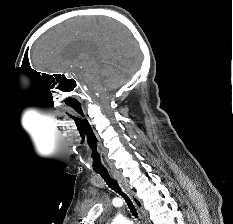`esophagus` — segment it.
Returning a JSON list of instances; mask_svg holds the SVG:
<instances>
[{"label":"esophagus","instance_id":"obj_1","mask_svg":"<svg viewBox=\"0 0 233 224\" xmlns=\"http://www.w3.org/2000/svg\"><path fill=\"white\" fill-rule=\"evenodd\" d=\"M111 176L117 180L119 183H121V185L123 186L124 190L126 191V193L129 195L130 199L132 200V202L134 203L135 207L137 208V210L139 211L144 224H150V220L148 217L147 212L145 211V209L143 208L142 202L140 199H138L134 193L130 190L126 180L123 178V176L121 175V173L117 170H114L111 172Z\"/></svg>","mask_w":233,"mask_h":224}]
</instances>
